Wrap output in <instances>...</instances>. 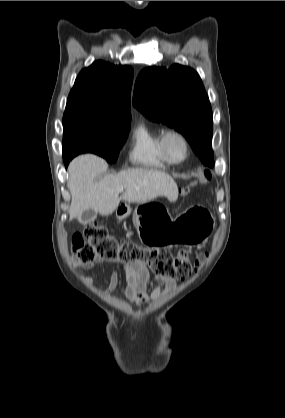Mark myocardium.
Returning <instances> with one entry per match:
<instances>
[{"mask_svg": "<svg viewBox=\"0 0 285 418\" xmlns=\"http://www.w3.org/2000/svg\"><path fill=\"white\" fill-rule=\"evenodd\" d=\"M172 137L178 138L184 146V154H183L182 158H180V159H174L169 152L168 141ZM160 146H161V149H162V152H163L165 158L171 164H180L188 158L189 147H190L189 146V141H188V138L186 137V135L179 130L169 129V130L165 131L161 135Z\"/></svg>", "mask_w": 285, "mask_h": 418, "instance_id": "obj_1", "label": "myocardium"}]
</instances>
